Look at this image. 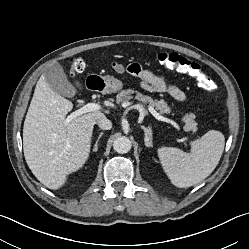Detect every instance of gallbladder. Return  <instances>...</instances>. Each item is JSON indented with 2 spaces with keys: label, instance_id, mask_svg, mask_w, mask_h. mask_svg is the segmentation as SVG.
<instances>
[{
  "label": "gallbladder",
  "instance_id": "bac80fb5",
  "mask_svg": "<svg viewBox=\"0 0 249 249\" xmlns=\"http://www.w3.org/2000/svg\"><path fill=\"white\" fill-rule=\"evenodd\" d=\"M43 76L48 85L60 96L73 97L76 94V89L68 81L63 68L59 63H55L46 68Z\"/></svg>",
  "mask_w": 249,
  "mask_h": 249
}]
</instances>
